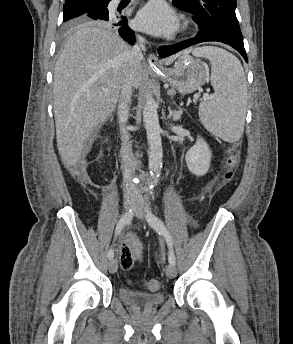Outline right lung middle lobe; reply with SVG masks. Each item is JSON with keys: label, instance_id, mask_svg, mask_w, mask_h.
Listing matches in <instances>:
<instances>
[{"label": "right lung middle lobe", "instance_id": "obj_1", "mask_svg": "<svg viewBox=\"0 0 293 344\" xmlns=\"http://www.w3.org/2000/svg\"><path fill=\"white\" fill-rule=\"evenodd\" d=\"M104 0H86L82 2H77L73 4H68L63 6V21L64 29L68 30L73 26L89 24L91 21L84 16V14L89 11L92 7L97 5V3Z\"/></svg>", "mask_w": 293, "mask_h": 344}]
</instances>
